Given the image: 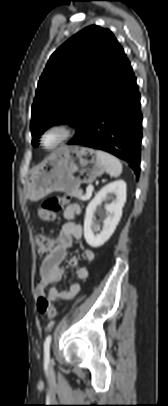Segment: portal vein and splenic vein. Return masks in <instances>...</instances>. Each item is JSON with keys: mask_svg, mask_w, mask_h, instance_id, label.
<instances>
[{"mask_svg": "<svg viewBox=\"0 0 168 406\" xmlns=\"http://www.w3.org/2000/svg\"><path fill=\"white\" fill-rule=\"evenodd\" d=\"M93 189H94L93 185H88V187L86 189V195L84 196L83 200H87L91 197Z\"/></svg>", "mask_w": 168, "mask_h": 406, "instance_id": "portal-vein-and-splenic-vein-1", "label": "portal vein and splenic vein"}]
</instances>
